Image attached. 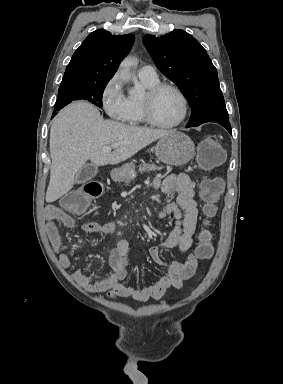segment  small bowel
<instances>
[{"instance_id": "small-bowel-1", "label": "small bowel", "mask_w": 283, "mask_h": 384, "mask_svg": "<svg viewBox=\"0 0 283 384\" xmlns=\"http://www.w3.org/2000/svg\"><path fill=\"white\" fill-rule=\"evenodd\" d=\"M155 186L165 194H176V201L163 206L158 217L164 218L172 215L175 226L166 239L149 249L151 259L159 264L167 266L168 273L162 276L152 285L142 288L127 286L122 281L127 275V255L129 243L121 238L109 256L112 273L105 279L96 280L95 274H85L82 270H76L72 277L74 281L92 294H104L108 298H132L145 302L149 299L162 297L170 288L179 289L183 282L190 279L198 264V256L192 251V236L195 232L198 218L197 203L195 201V182L185 173H173L155 181ZM46 233L58 256L59 262L64 268L71 265L70 257L63 251L62 238L57 223L68 228L77 227L74 219L62 208L48 206L45 210ZM85 233L108 235L116 232L117 226L112 222L98 223L85 222L79 226ZM178 248L186 255L183 261L165 263L161 256L162 248Z\"/></svg>"}]
</instances>
